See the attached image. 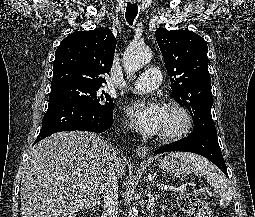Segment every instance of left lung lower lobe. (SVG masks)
I'll return each mask as SVG.
<instances>
[{
  "label": "left lung lower lobe",
  "instance_id": "left-lung-lower-lobe-1",
  "mask_svg": "<svg viewBox=\"0 0 255 217\" xmlns=\"http://www.w3.org/2000/svg\"><path fill=\"white\" fill-rule=\"evenodd\" d=\"M170 151L192 152L199 154L218 166L228 177L227 168L218 143L215 126L204 125L198 129H194V131L186 138H183L174 144L162 146L157 149L154 154Z\"/></svg>",
  "mask_w": 255,
  "mask_h": 217
}]
</instances>
